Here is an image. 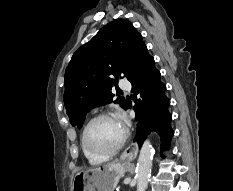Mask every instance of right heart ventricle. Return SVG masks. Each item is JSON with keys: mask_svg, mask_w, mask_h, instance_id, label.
<instances>
[{"mask_svg": "<svg viewBox=\"0 0 233 191\" xmlns=\"http://www.w3.org/2000/svg\"><path fill=\"white\" fill-rule=\"evenodd\" d=\"M84 130V129H83ZM82 136H83V131H82V134H81V147H82V151L84 153V156L86 157V159L90 162V163H93V164H97V163H100L102 162L105 158H98V157H94L92 155H90L84 148V145H83V141H82Z\"/></svg>", "mask_w": 233, "mask_h": 191, "instance_id": "1", "label": "right heart ventricle"}]
</instances>
